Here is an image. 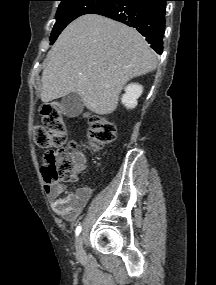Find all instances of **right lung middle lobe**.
I'll list each match as a JSON object with an SVG mask.
<instances>
[{
    "mask_svg": "<svg viewBox=\"0 0 216 285\" xmlns=\"http://www.w3.org/2000/svg\"><path fill=\"white\" fill-rule=\"evenodd\" d=\"M61 1L57 13L56 23L53 27L50 41L55 42L62 30L74 19L109 4L113 0H58Z\"/></svg>",
    "mask_w": 216,
    "mask_h": 285,
    "instance_id": "obj_1",
    "label": "right lung middle lobe"
}]
</instances>
